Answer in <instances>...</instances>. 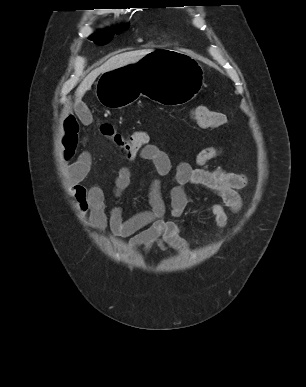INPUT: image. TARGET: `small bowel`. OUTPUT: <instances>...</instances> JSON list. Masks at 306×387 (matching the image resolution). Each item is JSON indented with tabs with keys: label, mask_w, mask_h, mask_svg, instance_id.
<instances>
[{
	"label": "small bowel",
	"mask_w": 306,
	"mask_h": 387,
	"mask_svg": "<svg viewBox=\"0 0 306 387\" xmlns=\"http://www.w3.org/2000/svg\"><path fill=\"white\" fill-rule=\"evenodd\" d=\"M79 119L83 124L92 122L91 114L86 109L79 111ZM87 138L82 140L86 143ZM79 144V123L73 114L65 117L62 125L61 150L65 161L74 157ZM218 147L210 146L202 149L195 158L194 165L182 161L175 167L171 157L154 144L148 143L137 154L126 159L136 158L150 164L154 177L148 190L149 208L125 218L121 207L115 206L107 212L105 193L99 184L85 186L82 181L90 171L91 155L81 152L67 169L71 196L74 205L82 214H88L92 227L103 232L109 229L115 236L128 238L132 247L150 250L158 247L161 250L172 248L186 253L189 250L187 241L182 236L184 225L178 220L185 212L188 197L185 186L194 185L205 189L219 198L220 202L209 203L205 212L210 214L220 234L228 223L229 214L239 212L242 207L241 190L247 178L241 173H233L223 169H210L208 163L220 155ZM171 175L172 184L169 189V214L166 219L167 205L162 193L159 177ZM131 169L120 167L114 179L113 195L120 198L131 183Z\"/></svg>",
	"instance_id": "1"
}]
</instances>
